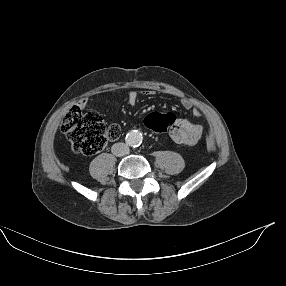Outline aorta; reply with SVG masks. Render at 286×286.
I'll return each mask as SVG.
<instances>
[{"label":"aorta","mask_w":286,"mask_h":286,"mask_svg":"<svg viewBox=\"0 0 286 286\" xmlns=\"http://www.w3.org/2000/svg\"><path fill=\"white\" fill-rule=\"evenodd\" d=\"M143 136L137 130H132L126 135V143L129 146L137 147L142 143Z\"/></svg>","instance_id":"762f6f07"}]
</instances>
